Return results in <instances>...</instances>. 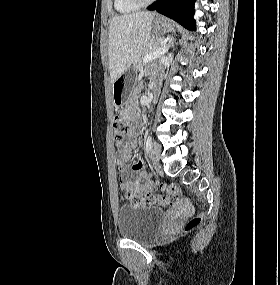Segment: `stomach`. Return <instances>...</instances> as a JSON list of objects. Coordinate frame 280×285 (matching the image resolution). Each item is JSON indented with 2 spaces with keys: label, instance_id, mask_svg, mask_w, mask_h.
Here are the masks:
<instances>
[{
  "label": "stomach",
  "instance_id": "obj_1",
  "mask_svg": "<svg viewBox=\"0 0 280 285\" xmlns=\"http://www.w3.org/2000/svg\"><path fill=\"white\" fill-rule=\"evenodd\" d=\"M152 29L155 34H165L172 30V25L166 19L159 18L154 22ZM130 83L131 77L129 72H125L113 83V102L115 106H122L127 103Z\"/></svg>",
  "mask_w": 280,
  "mask_h": 285
}]
</instances>
